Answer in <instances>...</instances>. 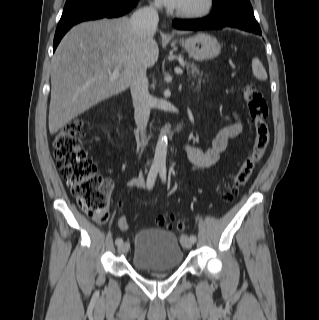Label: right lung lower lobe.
Listing matches in <instances>:
<instances>
[{
    "mask_svg": "<svg viewBox=\"0 0 319 320\" xmlns=\"http://www.w3.org/2000/svg\"><path fill=\"white\" fill-rule=\"evenodd\" d=\"M139 0H97L76 10L63 13L58 23L53 49L55 50L64 34L82 21L118 17L129 12Z\"/></svg>",
    "mask_w": 319,
    "mask_h": 320,
    "instance_id": "right-lung-lower-lobe-1",
    "label": "right lung lower lobe"
}]
</instances>
